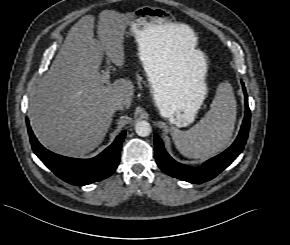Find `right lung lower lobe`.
Instances as JSON below:
<instances>
[{
  "label": "right lung lower lobe",
  "instance_id": "right-lung-lower-lobe-1",
  "mask_svg": "<svg viewBox=\"0 0 290 245\" xmlns=\"http://www.w3.org/2000/svg\"><path fill=\"white\" fill-rule=\"evenodd\" d=\"M27 121L28 133L34 153L59 178L73 185H86L109 177L117 168L120 148L126 131L98 156L91 159H76L55 154L44 148L34 136Z\"/></svg>",
  "mask_w": 290,
  "mask_h": 245
}]
</instances>
